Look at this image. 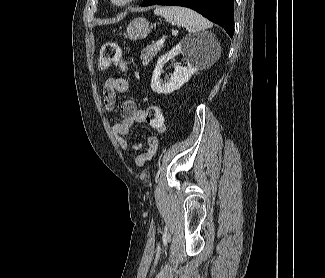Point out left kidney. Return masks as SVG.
Returning <instances> with one entry per match:
<instances>
[{
  "mask_svg": "<svg viewBox=\"0 0 325 278\" xmlns=\"http://www.w3.org/2000/svg\"><path fill=\"white\" fill-rule=\"evenodd\" d=\"M207 46V41H203L199 37H185L171 51L161 56L156 64L151 79V88L158 94H170L175 90L180 89L198 70V57L201 51ZM182 54L187 60L186 67L174 65V72L171 74L170 80L162 82L161 74L163 66L175 56Z\"/></svg>",
  "mask_w": 325,
  "mask_h": 278,
  "instance_id": "1",
  "label": "left kidney"
}]
</instances>
